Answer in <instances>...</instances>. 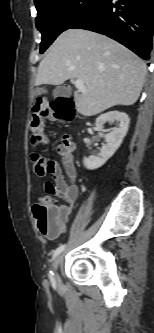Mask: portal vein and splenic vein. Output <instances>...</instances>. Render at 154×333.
I'll list each match as a JSON object with an SVG mask.
<instances>
[{"label":"portal vein and splenic vein","mask_w":154,"mask_h":333,"mask_svg":"<svg viewBox=\"0 0 154 333\" xmlns=\"http://www.w3.org/2000/svg\"><path fill=\"white\" fill-rule=\"evenodd\" d=\"M74 85L79 91L86 92V88L82 80L80 79L75 80Z\"/></svg>","instance_id":"portal-vein-and-splenic-vein-1"}]
</instances>
